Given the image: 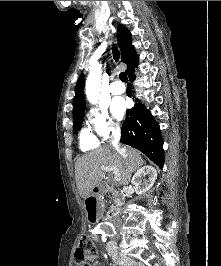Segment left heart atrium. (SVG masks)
Wrapping results in <instances>:
<instances>
[{
	"instance_id": "39dd6f15",
	"label": "left heart atrium",
	"mask_w": 221,
	"mask_h": 266,
	"mask_svg": "<svg viewBox=\"0 0 221 266\" xmlns=\"http://www.w3.org/2000/svg\"><path fill=\"white\" fill-rule=\"evenodd\" d=\"M126 109V104L122 98L115 99L112 103L111 110L113 115L120 119L123 117Z\"/></svg>"
}]
</instances>
